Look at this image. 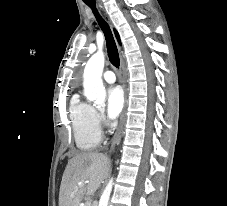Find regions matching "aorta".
Here are the masks:
<instances>
[{
    "mask_svg": "<svg viewBox=\"0 0 227 206\" xmlns=\"http://www.w3.org/2000/svg\"><path fill=\"white\" fill-rule=\"evenodd\" d=\"M104 62L103 52L95 53L87 62L83 74L84 95L89 101H93L97 105H103L106 99V91L102 81ZM112 186L113 179L104 189L98 206H108Z\"/></svg>",
    "mask_w": 227,
    "mask_h": 206,
    "instance_id": "1",
    "label": "aorta"
}]
</instances>
